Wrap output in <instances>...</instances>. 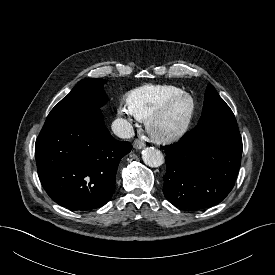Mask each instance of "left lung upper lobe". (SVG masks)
Here are the masks:
<instances>
[{"instance_id":"left-lung-upper-lobe-1","label":"left lung upper lobe","mask_w":275,"mask_h":275,"mask_svg":"<svg viewBox=\"0 0 275 275\" xmlns=\"http://www.w3.org/2000/svg\"><path fill=\"white\" fill-rule=\"evenodd\" d=\"M196 129L202 133H239L232 110L211 84L206 89L203 111Z\"/></svg>"}]
</instances>
